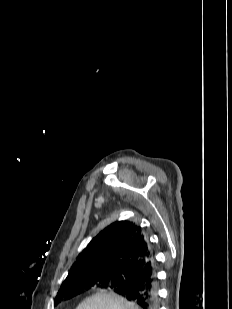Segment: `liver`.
Wrapping results in <instances>:
<instances>
[{
    "label": "liver",
    "mask_w": 232,
    "mask_h": 309,
    "mask_svg": "<svg viewBox=\"0 0 232 309\" xmlns=\"http://www.w3.org/2000/svg\"><path fill=\"white\" fill-rule=\"evenodd\" d=\"M76 309H140L135 303L107 291H100L81 302Z\"/></svg>",
    "instance_id": "liver-1"
}]
</instances>
